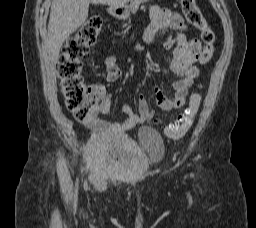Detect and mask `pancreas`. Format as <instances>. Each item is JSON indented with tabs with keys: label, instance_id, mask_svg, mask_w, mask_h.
Segmentation results:
<instances>
[{
	"label": "pancreas",
	"instance_id": "cf45deb5",
	"mask_svg": "<svg viewBox=\"0 0 256 228\" xmlns=\"http://www.w3.org/2000/svg\"><path fill=\"white\" fill-rule=\"evenodd\" d=\"M147 1H148V0H133V1H131L130 5H129V9H130L133 13H135V12L138 10L139 5H140L141 3H144V2H147Z\"/></svg>",
	"mask_w": 256,
	"mask_h": 228
}]
</instances>
